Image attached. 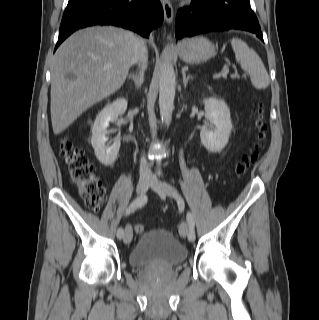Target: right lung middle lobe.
Wrapping results in <instances>:
<instances>
[{"instance_id":"obj_1","label":"right lung middle lobe","mask_w":319,"mask_h":320,"mask_svg":"<svg viewBox=\"0 0 319 320\" xmlns=\"http://www.w3.org/2000/svg\"><path fill=\"white\" fill-rule=\"evenodd\" d=\"M79 0H69L68 5L74 4L76 2H78Z\"/></svg>"}]
</instances>
